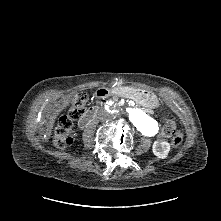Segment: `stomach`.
Segmentation results:
<instances>
[{"instance_id":"0dacf381","label":"stomach","mask_w":221,"mask_h":221,"mask_svg":"<svg viewBox=\"0 0 221 221\" xmlns=\"http://www.w3.org/2000/svg\"><path fill=\"white\" fill-rule=\"evenodd\" d=\"M123 93L125 95L134 97L135 99H137L145 105H149L156 100V97L153 93L142 89L125 87L123 88Z\"/></svg>"}]
</instances>
